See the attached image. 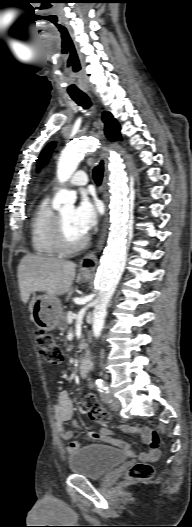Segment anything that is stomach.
<instances>
[{
	"label": "stomach",
	"instance_id": "stomach-1",
	"mask_svg": "<svg viewBox=\"0 0 192 527\" xmlns=\"http://www.w3.org/2000/svg\"><path fill=\"white\" fill-rule=\"evenodd\" d=\"M82 276L89 279L91 273L82 272ZM62 313V304L57 297L40 295L33 300L31 319L40 330L51 331L55 329Z\"/></svg>",
	"mask_w": 192,
	"mask_h": 527
}]
</instances>
